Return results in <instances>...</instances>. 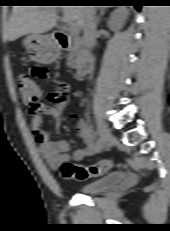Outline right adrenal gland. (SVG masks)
<instances>
[{
    "label": "right adrenal gland",
    "mask_w": 170,
    "mask_h": 231,
    "mask_svg": "<svg viewBox=\"0 0 170 231\" xmlns=\"http://www.w3.org/2000/svg\"><path fill=\"white\" fill-rule=\"evenodd\" d=\"M105 11H106V7L101 6L100 7V15L96 18V24L97 25L100 23V18L104 15Z\"/></svg>",
    "instance_id": "obj_1"
}]
</instances>
